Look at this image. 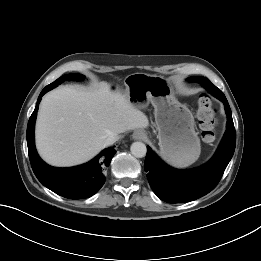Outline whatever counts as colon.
<instances>
[{"instance_id":"1","label":"colon","mask_w":261,"mask_h":261,"mask_svg":"<svg viewBox=\"0 0 261 261\" xmlns=\"http://www.w3.org/2000/svg\"><path fill=\"white\" fill-rule=\"evenodd\" d=\"M196 117L203 139L208 142L213 141L215 138L217 118L212 101L208 96L202 95L199 97Z\"/></svg>"}]
</instances>
